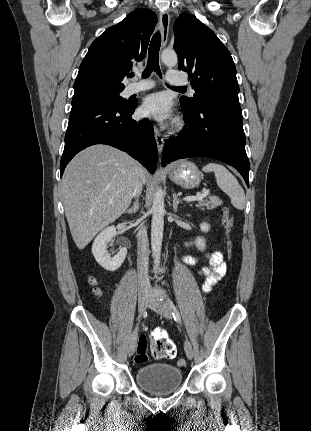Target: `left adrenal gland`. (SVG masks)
I'll return each instance as SVG.
<instances>
[{
  "instance_id": "obj_1",
  "label": "left adrenal gland",
  "mask_w": 311,
  "mask_h": 431,
  "mask_svg": "<svg viewBox=\"0 0 311 431\" xmlns=\"http://www.w3.org/2000/svg\"><path fill=\"white\" fill-rule=\"evenodd\" d=\"M179 204H181V202H180L177 194H173V204H172V206H173L174 212H177V208H178Z\"/></svg>"
}]
</instances>
